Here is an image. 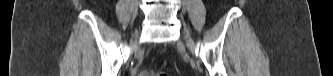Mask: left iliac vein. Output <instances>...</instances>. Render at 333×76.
I'll return each mask as SVG.
<instances>
[{
  "instance_id": "4c4485c4",
  "label": "left iliac vein",
  "mask_w": 333,
  "mask_h": 76,
  "mask_svg": "<svg viewBox=\"0 0 333 76\" xmlns=\"http://www.w3.org/2000/svg\"><path fill=\"white\" fill-rule=\"evenodd\" d=\"M185 37H186V40H187V43H188L189 47L192 48V47H193V42H192V40H191L189 34L186 33V34H185Z\"/></svg>"
}]
</instances>
